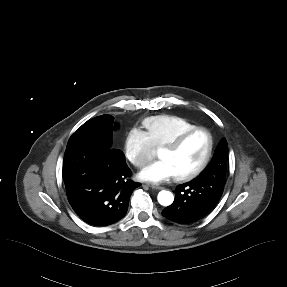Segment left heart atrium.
<instances>
[{"instance_id":"39dd6f15","label":"left heart atrium","mask_w":287,"mask_h":287,"mask_svg":"<svg viewBox=\"0 0 287 287\" xmlns=\"http://www.w3.org/2000/svg\"><path fill=\"white\" fill-rule=\"evenodd\" d=\"M173 177H175V173L165 160L152 162L139 173L141 180L151 183H161Z\"/></svg>"}]
</instances>
